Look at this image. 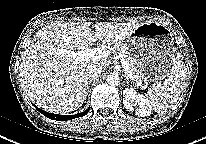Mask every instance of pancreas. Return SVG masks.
I'll list each match as a JSON object with an SVG mask.
<instances>
[{"label": "pancreas", "mask_w": 206, "mask_h": 144, "mask_svg": "<svg viewBox=\"0 0 206 144\" xmlns=\"http://www.w3.org/2000/svg\"><path fill=\"white\" fill-rule=\"evenodd\" d=\"M114 49L117 50L118 54L127 61L129 66V71H131L136 76V78H138L139 73L136 67L134 66L133 58L130 56L129 52L127 51L126 45L122 42H119L114 46Z\"/></svg>", "instance_id": "1"}]
</instances>
